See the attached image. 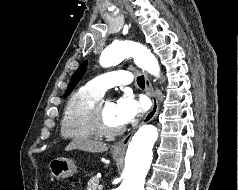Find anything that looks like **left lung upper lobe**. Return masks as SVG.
I'll list each match as a JSON object with an SVG mask.
<instances>
[{
  "instance_id": "obj_1",
  "label": "left lung upper lobe",
  "mask_w": 238,
  "mask_h": 190,
  "mask_svg": "<svg viewBox=\"0 0 238 190\" xmlns=\"http://www.w3.org/2000/svg\"><path fill=\"white\" fill-rule=\"evenodd\" d=\"M87 67V61H84L79 68L74 73L73 77L71 78V81L68 85L65 97L71 92V90L74 88V86L77 84V82L80 80V78L83 76V74L86 71Z\"/></svg>"
}]
</instances>
